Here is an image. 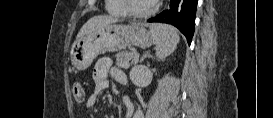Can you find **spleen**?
<instances>
[{
	"instance_id": "3e777b00",
	"label": "spleen",
	"mask_w": 273,
	"mask_h": 118,
	"mask_svg": "<svg viewBox=\"0 0 273 118\" xmlns=\"http://www.w3.org/2000/svg\"><path fill=\"white\" fill-rule=\"evenodd\" d=\"M150 34L159 59H164L173 53L180 40L176 29L166 24H152L150 26Z\"/></svg>"
}]
</instances>
